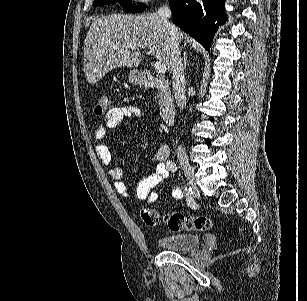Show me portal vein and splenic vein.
I'll return each mask as SVG.
<instances>
[{"instance_id":"obj_1","label":"portal vein and splenic vein","mask_w":307,"mask_h":301,"mask_svg":"<svg viewBox=\"0 0 307 301\" xmlns=\"http://www.w3.org/2000/svg\"><path fill=\"white\" fill-rule=\"evenodd\" d=\"M116 48H118V46H116ZM131 50H139V48H131ZM143 52L144 54H149L147 50H143ZM154 66L155 70H157V72H160V74H164V72H166L167 70L165 64H163V62H160V60H158V62H155Z\"/></svg>"}]
</instances>
